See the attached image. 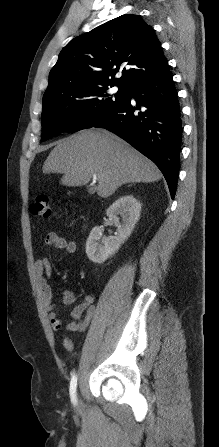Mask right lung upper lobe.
I'll list each match as a JSON object with an SVG mask.
<instances>
[{"mask_svg":"<svg viewBox=\"0 0 219 447\" xmlns=\"http://www.w3.org/2000/svg\"><path fill=\"white\" fill-rule=\"evenodd\" d=\"M123 65L122 76H114ZM160 41L138 15L125 14L72 39L49 74L44 96L85 94L114 84L129 91L167 69Z\"/></svg>","mask_w":219,"mask_h":447,"instance_id":"obj_1","label":"right lung upper lobe"}]
</instances>
